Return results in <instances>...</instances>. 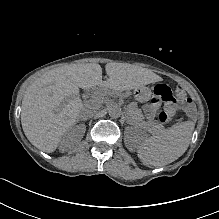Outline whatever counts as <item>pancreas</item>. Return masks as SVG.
<instances>
[{"label":"pancreas","instance_id":"pancreas-1","mask_svg":"<svg viewBox=\"0 0 219 219\" xmlns=\"http://www.w3.org/2000/svg\"><path fill=\"white\" fill-rule=\"evenodd\" d=\"M126 111L129 114L127 117L129 123L134 124L138 127L143 126L145 129L153 134L163 130V128L159 124H155L153 122L146 123L145 118L142 116L141 111L137 108L136 105H128Z\"/></svg>","mask_w":219,"mask_h":219}]
</instances>
